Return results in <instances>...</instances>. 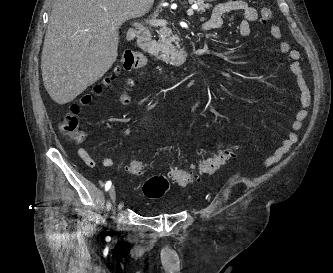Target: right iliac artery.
I'll list each match as a JSON object with an SVG mask.
<instances>
[{
	"label": "right iliac artery",
	"mask_w": 333,
	"mask_h": 273,
	"mask_svg": "<svg viewBox=\"0 0 333 273\" xmlns=\"http://www.w3.org/2000/svg\"><path fill=\"white\" fill-rule=\"evenodd\" d=\"M111 184H112L111 181L106 182V184H105V190L106 191H108L110 189Z\"/></svg>",
	"instance_id": "1"
}]
</instances>
